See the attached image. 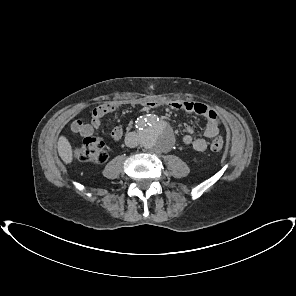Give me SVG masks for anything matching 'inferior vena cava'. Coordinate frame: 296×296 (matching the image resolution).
<instances>
[{
	"instance_id": "inferior-vena-cava-1",
	"label": "inferior vena cava",
	"mask_w": 296,
	"mask_h": 296,
	"mask_svg": "<svg viewBox=\"0 0 296 296\" xmlns=\"http://www.w3.org/2000/svg\"><path fill=\"white\" fill-rule=\"evenodd\" d=\"M125 144L129 148H135L139 144V137L137 133L135 132H130L126 135L125 137Z\"/></svg>"
}]
</instances>
